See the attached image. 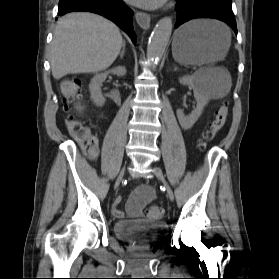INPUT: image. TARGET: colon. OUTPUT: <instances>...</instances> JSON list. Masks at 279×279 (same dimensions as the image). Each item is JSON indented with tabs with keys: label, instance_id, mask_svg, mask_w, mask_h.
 <instances>
[{
	"label": "colon",
	"instance_id": "colon-1",
	"mask_svg": "<svg viewBox=\"0 0 279 279\" xmlns=\"http://www.w3.org/2000/svg\"><path fill=\"white\" fill-rule=\"evenodd\" d=\"M82 83V79L78 77H72L62 81L60 89L63 96L65 110L69 111L81 99ZM228 112L229 101L224 100L199 141L200 149H204L208 143L214 140L218 132L225 125ZM67 128L78 140L84 154L88 158H94L97 154L98 140L90 133L85 123L82 120L71 116L67 122ZM145 214L152 220H158L163 217L164 209L153 205L146 209Z\"/></svg>",
	"mask_w": 279,
	"mask_h": 279
}]
</instances>
